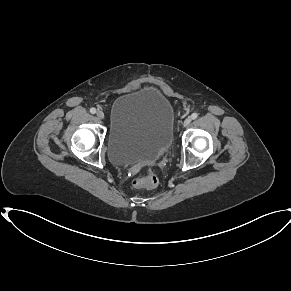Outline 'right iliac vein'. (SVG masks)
Here are the masks:
<instances>
[{
  "label": "right iliac vein",
  "mask_w": 291,
  "mask_h": 291,
  "mask_svg": "<svg viewBox=\"0 0 291 291\" xmlns=\"http://www.w3.org/2000/svg\"><path fill=\"white\" fill-rule=\"evenodd\" d=\"M96 115H97V117L99 119H104V113H103V111H101V110L97 111Z\"/></svg>",
  "instance_id": "right-iliac-vein-1"
}]
</instances>
